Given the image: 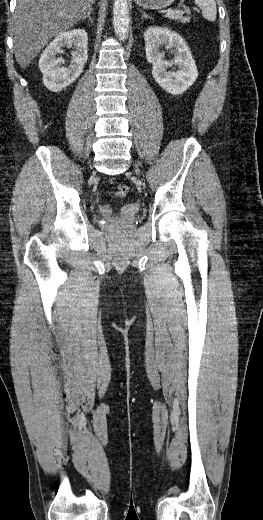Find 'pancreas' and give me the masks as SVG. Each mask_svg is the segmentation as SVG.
Listing matches in <instances>:
<instances>
[{
    "label": "pancreas",
    "mask_w": 263,
    "mask_h": 520,
    "mask_svg": "<svg viewBox=\"0 0 263 520\" xmlns=\"http://www.w3.org/2000/svg\"><path fill=\"white\" fill-rule=\"evenodd\" d=\"M184 13L190 14V10L189 9H184V11L183 10H174V11H172V14L168 16V18L172 19V20L181 21L182 23H188L190 21V17H188V16L184 17L183 16Z\"/></svg>",
    "instance_id": "obj_1"
}]
</instances>
